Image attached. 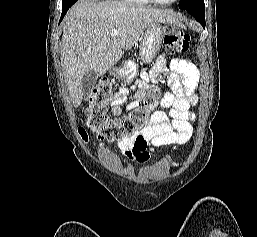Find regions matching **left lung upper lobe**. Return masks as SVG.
<instances>
[{
  "instance_id": "left-lung-upper-lobe-1",
  "label": "left lung upper lobe",
  "mask_w": 257,
  "mask_h": 237,
  "mask_svg": "<svg viewBox=\"0 0 257 237\" xmlns=\"http://www.w3.org/2000/svg\"><path fill=\"white\" fill-rule=\"evenodd\" d=\"M179 8L186 11H195L204 13V0H180Z\"/></svg>"
}]
</instances>
